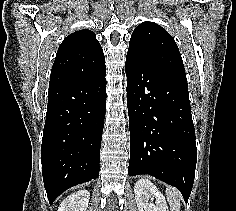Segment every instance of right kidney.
<instances>
[{"label":"right kidney","mask_w":236,"mask_h":211,"mask_svg":"<svg viewBox=\"0 0 236 211\" xmlns=\"http://www.w3.org/2000/svg\"><path fill=\"white\" fill-rule=\"evenodd\" d=\"M90 199L88 190H80L69 195L60 204L58 211H86Z\"/></svg>","instance_id":"obj_1"}]
</instances>
